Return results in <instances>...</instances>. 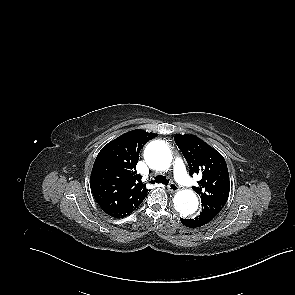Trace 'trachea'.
I'll return each instance as SVG.
<instances>
[{
	"mask_svg": "<svg viewBox=\"0 0 295 295\" xmlns=\"http://www.w3.org/2000/svg\"><path fill=\"white\" fill-rule=\"evenodd\" d=\"M152 183H162V184H165L167 185L169 183V181L166 179V177L164 176H156L154 181H152Z\"/></svg>",
	"mask_w": 295,
	"mask_h": 295,
	"instance_id": "obj_1",
	"label": "trachea"
}]
</instances>
